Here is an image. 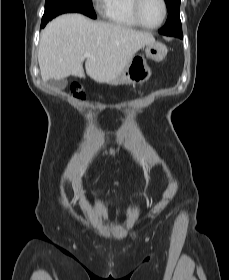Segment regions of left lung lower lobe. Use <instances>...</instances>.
Masks as SVG:
<instances>
[{
    "label": "left lung lower lobe",
    "instance_id": "obj_1",
    "mask_svg": "<svg viewBox=\"0 0 229 280\" xmlns=\"http://www.w3.org/2000/svg\"><path fill=\"white\" fill-rule=\"evenodd\" d=\"M178 37L182 39V38H183V35H182V34H180Z\"/></svg>",
    "mask_w": 229,
    "mask_h": 280
}]
</instances>
